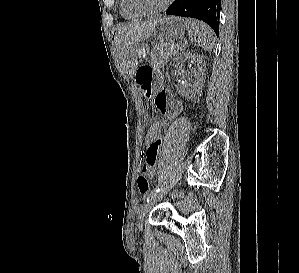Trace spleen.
<instances>
[{
  "label": "spleen",
  "mask_w": 299,
  "mask_h": 273,
  "mask_svg": "<svg viewBox=\"0 0 299 273\" xmlns=\"http://www.w3.org/2000/svg\"><path fill=\"white\" fill-rule=\"evenodd\" d=\"M185 23L190 41L203 50L211 52L215 38L209 25L195 19H186Z\"/></svg>",
  "instance_id": "1"
}]
</instances>
